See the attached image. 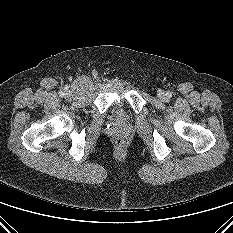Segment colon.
<instances>
[{
  "instance_id": "colon-1",
  "label": "colon",
  "mask_w": 233,
  "mask_h": 233,
  "mask_svg": "<svg viewBox=\"0 0 233 233\" xmlns=\"http://www.w3.org/2000/svg\"><path fill=\"white\" fill-rule=\"evenodd\" d=\"M124 143H125V141H124L122 138H118V139L116 140V145H117L118 147L124 146Z\"/></svg>"
}]
</instances>
